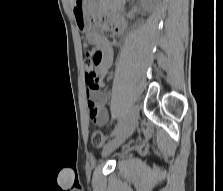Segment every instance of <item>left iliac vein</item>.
Returning <instances> with one entry per match:
<instances>
[{
	"label": "left iliac vein",
	"instance_id": "1",
	"mask_svg": "<svg viewBox=\"0 0 223 191\" xmlns=\"http://www.w3.org/2000/svg\"><path fill=\"white\" fill-rule=\"evenodd\" d=\"M138 118H139V107L137 105H134L130 110L128 118L123 127L116 134V136L105 146L102 153L104 157L110 155L115 149H117L125 142V140L130 136V134L136 127L138 123Z\"/></svg>",
	"mask_w": 223,
	"mask_h": 191
}]
</instances>
